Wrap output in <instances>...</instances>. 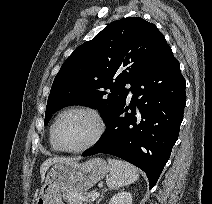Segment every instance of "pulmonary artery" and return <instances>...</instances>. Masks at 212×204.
Instances as JSON below:
<instances>
[{
	"mask_svg": "<svg viewBox=\"0 0 212 204\" xmlns=\"http://www.w3.org/2000/svg\"><path fill=\"white\" fill-rule=\"evenodd\" d=\"M128 88H130V85H127ZM133 96L132 92L129 91V98H131Z\"/></svg>",
	"mask_w": 212,
	"mask_h": 204,
	"instance_id": "1",
	"label": "pulmonary artery"
}]
</instances>
